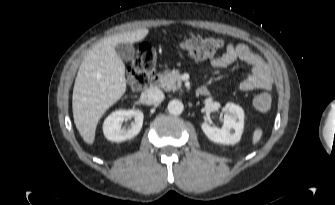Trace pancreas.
Listing matches in <instances>:
<instances>
[{"instance_id": "cf45deb5", "label": "pancreas", "mask_w": 335, "mask_h": 205, "mask_svg": "<svg viewBox=\"0 0 335 205\" xmlns=\"http://www.w3.org/2000/svg\"><path fill=\"white\" fill-rule=\"evenodd\" d=\"M161 86L165 91L179 90L182 85L181 74L178 70H173L160 74Z\"/></svg>"}]
</instances>
